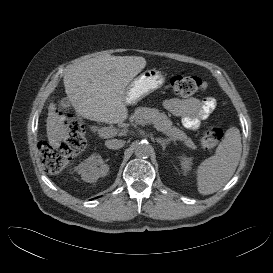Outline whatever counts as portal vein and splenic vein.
Instances as JSON below:
<instances>
[{
    "label": "portal vein and splenic vein",
    "mask_w": 273,
    "mask_h": 273,
    "mask_svg": "<svg viewBox=\"0 0 273 273\" xmlns=\"http://www.w3.org/2000/svg\"><path fill=\"white\" fill-rule=\"evenodd\" d=\"M138 124L139 125H149L150 123L147 121H144V120H139ZM98 134L100 137L107 138V137H111V136L116 135L117 131L114 128L104 127V128H101L98 130Z\"/></svg>",
    "instance_id": "1"
}]
</instances>
